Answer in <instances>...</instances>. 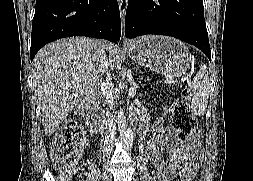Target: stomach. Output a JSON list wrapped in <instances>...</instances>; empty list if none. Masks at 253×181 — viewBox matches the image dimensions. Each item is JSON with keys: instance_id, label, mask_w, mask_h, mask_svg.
<instances>
[{"instance_id": "obj_1", "label": "stomach", "mask_w": 253, "mask_h": 181, "mask_svg": "<svg viewBox=\"0 0 253 181\" xmlns=\"http://www.w3.org/2000/svg\"><path fill=\"white\" fill-rule=\"evenodd\" d=\"M127 52L139 65L167 75L185 71L191 62L185 44L167 36L141 37L130 43Z\"/></svg>"}]
</instances>
